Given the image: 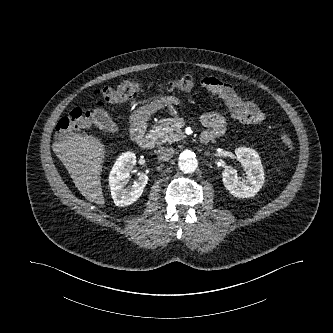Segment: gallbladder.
Returning <instances> with one entry per match:
<instances>
[{
    "label": "gallbladder",
    "instance_id": "obj_1",
    "mask_svg": "<svg viewBox=\"0 0 333 333\" xmlns=\"http://www.w3.org/2000/svg\"><path fill=\"white\" fill-rule=\"evenodd\" d=\"M92 119H93L95 125L100 130L110 131V132H116L118 130V126L116 125L114 120L103 109L96 108L93 111Z\"/></svg>",
    "mask_w": 333,
    "mask_h": 333
}]
</instances>
